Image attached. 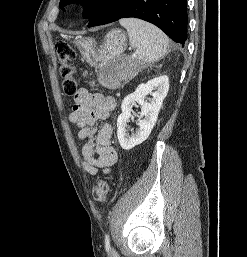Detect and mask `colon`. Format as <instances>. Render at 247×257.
Listing matches in <instances>:
<instances>
[{
	"label": "colon",
	"instance_id": "colon-1",
	"mask_svg": "<svg viewBox=\"0 0 247 257\" xmlns=\"http://www.w3.org/2000/svg\"><path fill=\"white\" fill-rule=\"evenodd\" d=\"M57 58L59 62V73L62 78V88L65 94L73 95L77 92L80 79L86 77L82 72L80 77L76 76V66L73 61L76 58L75 49L67 43L56 45ZM92 85L91 83H88ZM110 192V184L106 180H100L92 189V196L97 202H104Z\"/></svg>",
	"mask_w": 247,
	"mask_h": 257
}]
</instances>
